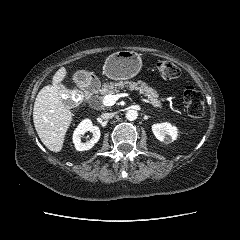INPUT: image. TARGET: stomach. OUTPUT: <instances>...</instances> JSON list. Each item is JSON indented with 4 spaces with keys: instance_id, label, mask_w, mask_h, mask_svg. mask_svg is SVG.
<instances>
[{
    "instance_id": "stomach-1",
    "label": "stomach",
    "mask_w": 240,
    "mask_h": 240,
    "mask_svg": "<svg viewBox=\"0 0 240 240\" xmlns=\"http://www.w3.org/2000/svg\"><path fill=\"white\" fill-rule=\"evenodd\" d=\"M142 67L139 54L133 51L121 50L110 55L104 64L103 73L113 80H126L138 74ZM80 74L90 78V73L80 71Z\"/></svg>"
}]
</instances>
